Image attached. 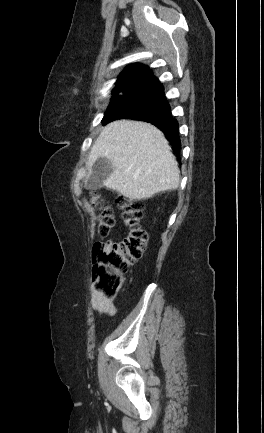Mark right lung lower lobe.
Instances as JSON below:
<instances>
[{"label":"right lung lower lobe","instance_id":"right-lung-lower-lobe-1","mask_svg":"<svg viewBox=\"0 0 264 433\" xmlns=\"http://www.w3.org/2000/svg\"><path fill=\"white\" fill-rule=\"evenodd\" d=\"M132 106L133 111L131 114L121 118L146 121L155 125L165 134L166 138L172 143L174 151L179 155L181 146L178 136L179 125L171 115V108L165 97L164 88L155 76L144 85L138 101L133 103Z\"/></svg>","mask_w":264,"mask_h":433}]
</instances>
